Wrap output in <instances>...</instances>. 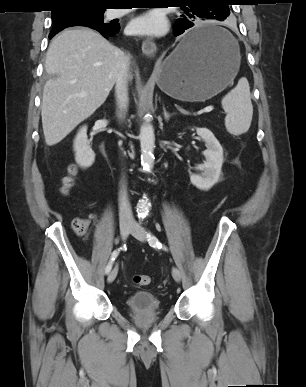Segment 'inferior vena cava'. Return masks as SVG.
<instances>
[{
	"mask_svg": "<svg viewBox=\"0 0 306 387\" xmlns=\"http://www.w3.org/2000/svg\"><path fill=\"white\" fill-rule=\"evenodd\" d=\"M129 75V56H124L120 71L115 82V95L119 109V117H123L128 107V80ZM119 219L120 222H133L131 206L128 200L126 187L121 186L119 192Z\"/></svg>",
	"mask_w": 306,
	"mask_h": 387,
	"instance_id": "1",
	"label": "inferior vena cava"
}]
</instances>
